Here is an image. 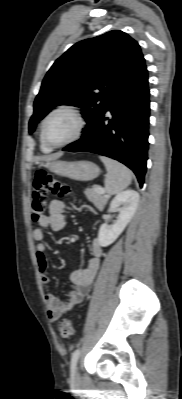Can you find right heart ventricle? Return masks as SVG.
Masks as SVG:
<instances>
[{
    "instance_id": "1",
    "label": "right heart ventricle",
    "mask_w": 182,
    "mask_h": 399,
    "mask_svg": "<svg viewBox=\"0 0 182 399\" xmlns=\"http://www.w3.org/2000/svg\"><path fill=\"white\" fill-rule=\"evenodd\" d=\"M40 142H41V149H42L44 152H49V151H51L52 148H50L49 146H47V145L43 142L42 138L40 139Z\"/></svg>"
}]
</instances>
